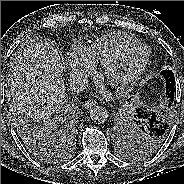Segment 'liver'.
<instances>
[{
    "label": "liver",
    "mask_w": 184,
    "mask_h": 184,
    "mask_svg": "<svg viewBox=\"0 0 184 184\" xmlns=\"http://www.w3.org/2000/svg\"><path fill=\"white\" fill-rule=\"evenodd\" d=\"M65 95L63 67L57 50L35 37L11 58L6 97L12 107L41 119L59 111Z\"/></svg>",
    "instance_id": "6515ba94"
}]
</instances>
